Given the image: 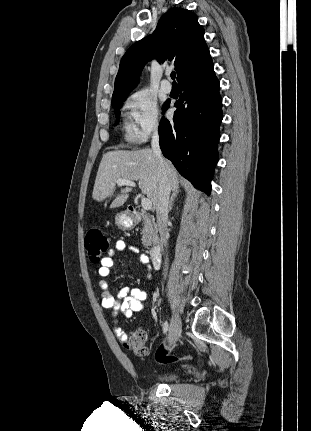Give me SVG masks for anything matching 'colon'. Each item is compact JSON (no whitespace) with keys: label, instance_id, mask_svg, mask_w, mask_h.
<instances>
[{"label":"colon","instance_id":"colon-1","mask_svg":"<svg viewBox=\"0 0 311 431\" xmlns=\"http://www.w3.org/2000/svg\"><path fill=\"white\" fill-rule=\"evenodd\" d=\"M85 247L89 259L93 263H99L104 257V254L109 250V240L100 230H91L86 236ZM146 339L147 335L144 330H135L126 337L125 341L123 342L124 347L132 351L136 355H146ZM188 359H191V357L175 356L170 354L165 348V343H163L156 352V360L157 362L162 364Z\"/></svg>","mask_w":311,"mask_h":431}]
</instances>
